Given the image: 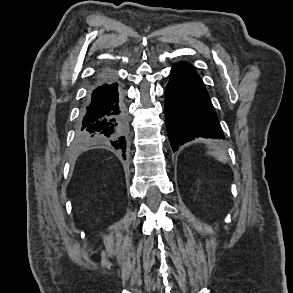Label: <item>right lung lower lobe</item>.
Segmentation results:
<instances>
[{
    "label": "right lung lower lobe",
    "mask_w": 293,
    "mask_h": 293,
    "mask_svg": "<svg viewBox=\"0 0 293 293\" xmlns=\"http://www.w3.org/2000/svg\"><path fill=\"white\" fill-rule=\"evenodd\" d=\"M128 124L121 91L114 74L105 70L88 93L80 111L77 139L99 142L119 150L126 159Z\"/></svg>",
    "instance_id": "1"
}]
</instances>
